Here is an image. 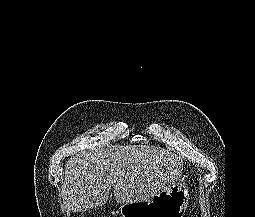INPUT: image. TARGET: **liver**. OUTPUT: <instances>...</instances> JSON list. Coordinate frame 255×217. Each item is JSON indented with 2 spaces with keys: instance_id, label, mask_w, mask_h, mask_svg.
<instances>
[{
  "instance_id": "6515ba94",
  "label": "liver",
  "mask_w": 255,
  "mask_h": 217,
  "mask_svg": "<svg viewBox=\"0 0 255 217\" xmlns=\"http://www.w3.org/2000/svg\"><path fill=\"white\" fill-rule=\"evenodd\" d=\"M183 160L175 153L146 145H108L76 154L65 165L63 205L84 212L101 207L111 188L118 203L147 201L175 184Z\"/></svg>"
}]
</instances>
